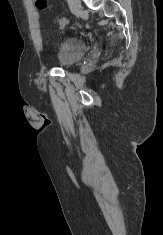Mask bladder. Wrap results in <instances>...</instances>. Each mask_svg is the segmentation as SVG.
<instances>
[{
    "instance_id": "31cf9c89",
    "label": "bladder",
    "mask_w": 163,
    "mask_h": 235,
    "mask_svg": "<svg viewBox=\"0 0 163 235\" xmlns=\"http://www.w3.org/2000/svg\"><path fill=\"white\" fill-rule=\"evenodd\" d=\"M87 51L85 43L76 37L66 38L58 48L57 60L61 67H70L79 62Z\"/></svg>"
}]
</instances>
